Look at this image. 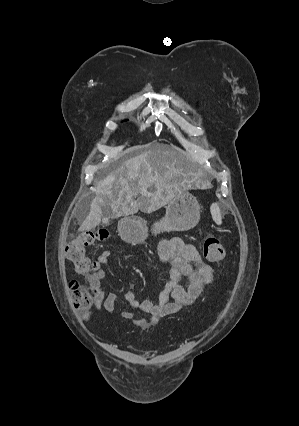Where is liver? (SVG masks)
I'll use <instances>...</instances> for the list:
<instances>
[{
	"instance_id": "1",
	"label": "liver",
	"mask_w": 299,
	"mask_h": 426,
	"mask_svg": "<svg viewBox=\"0 0 299 426\" xmlns=\"http://www.w3.org/2000/svg\"><path fill=\"white\" fill-rule=\"evenodd\" d=\"M186 169L187 161L180 150L163 144L147 147L97 183L96 197L80 230L98 226L104 206L112 208L113 217L134 214L139 209L148 213L156 211L175 196L174 180L184 175ZM137 195L140 197L134 200Z\"/></svg>"
}]
</instances>
